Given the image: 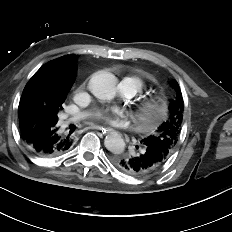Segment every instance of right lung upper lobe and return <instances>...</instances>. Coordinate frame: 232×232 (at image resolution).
Wrapping results in <instances>:
<instances>
[{
  "mask_svg": "<svg viewBox=\"0 0 232 232\" xmlns=\"http://www.w3.org/2000/svg\"><path fill=\"white\" fill-rule=\"evenodd\" d=\"M77 58L75 55H67L44 64L29 80L24 88L23 94L29 92L32 85L40 79L48 80L51 83L57 84L65 91L71 89L77 72ZM35 123H42L38 120L36 110L33 112Z\"/></svg>",
  "mask_w": 232,
  "mask_h": 232,
  "instance_id": "cb5924a9",
  "label": "right lung upper lobe"
}]
</instances>
